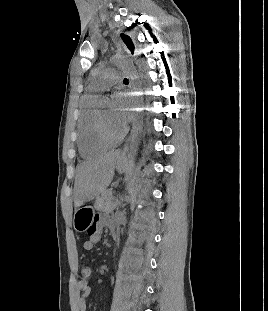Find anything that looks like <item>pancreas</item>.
I'll use <instances>...</instances> for the list:
<instances>
[{"label":"pancreas","instance_id":"1","mask_svg":"<svg viewBox=\"0 0 268 311\" xmlns=\"http://www.w3.org/2000/svg\"><path fill=\"white\" fill-rule=\"evenodd\" d=\"M118 204L112 192L106 191L96 199L95 208L103 212H113L118 207Z\"/></svg>","mask_w":268,"mask_h":311}]
</instances>
